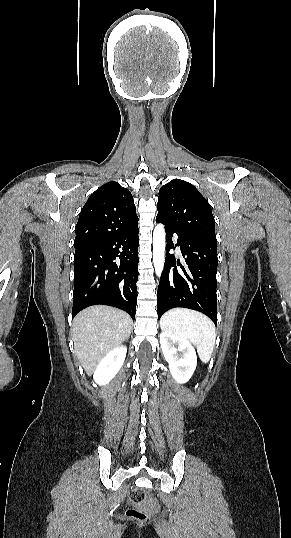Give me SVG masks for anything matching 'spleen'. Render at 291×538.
Listing matches in <instances>:
<instances>
[{"instance_id": "obj_1", "label": "spleen", "mask_w": 291, "mask_h": 538, "mask_svg": "<svg viewBox=\"0 0 291 538\" xmlns=\"http://www.w3.org/2000/svg\"><path fill=\"white\" fill-rule=\"evenodd\" d=\"M160 326L164 332L190 340L196 346L202 362L210 360L215 346L216 329L207 316L195 310L174 308L161 317Z\"/></svg>"}]
</instances>
